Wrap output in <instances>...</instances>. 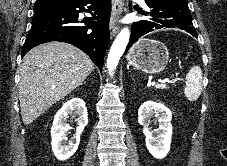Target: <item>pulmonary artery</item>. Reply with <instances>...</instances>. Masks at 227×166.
Listing matches in <instances>:
<instances>
[{"mask_svg": "<svg viewBox=\"0 0 227 166\" xmlns=\"http://www.w3.org/2000/svg\"><path fill=\"white\" fill-rule=\"evenodd\" d=\"M137 1L140 3L141 6H143L145 8L147 7L145 0H137Z\"/></svg>", "mask_w": 227, "mask_h": 166, "instance_id": "e3ab8cb5", "label": "pulmonary artery"}]
</instances>
